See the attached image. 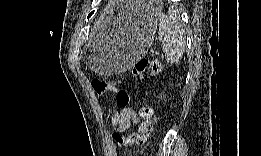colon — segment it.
I'll return each mask as SVG.
<instances>
[{
  "label": "colon",
  "instance_id": "obj_1",
  "mask_svg": "<svg viewBox=\"0 0 261 156\" xmlns=\"http://www.w3.org/2000/svg\"><path fill=\"white\" fill-rule=\"evenodd\" d=\"M145 71H148L152 76H155L161 71V63L157 60H140L134 68L133 77L137 78ZM134 84L135 82L131 80L125 86L120 87L116 82H110L102 79H94L92 81V87L97 94H115L116 102L120 107H126L129 104V90L134 87ZM139 115L142 120L138 130L135 133L129 136H121L119 133H113L112 139L117 146L130 147L133 145H143L147 142L152 132V111L149 107H142L139 110Z\"/></svg>",
  "mask_w": 261,
  "mask_h": 156
}]
</instances>
